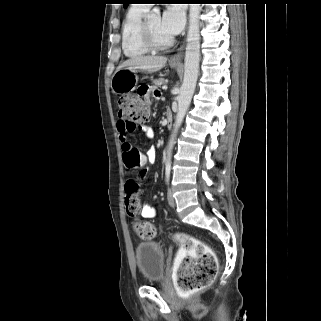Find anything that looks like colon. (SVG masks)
Here are the masks:
<instances>
[{
  "instance_id": "colon-1",
  "label": "colon",
  "mask_w": 321,
  "mask_h": 321,
  "mask_svg": "<svg viewBox=\"0 0 321 321\" xmlns=\"http://www.w3.org/2000/svg\"><path fill=\"white\" fill-rule=\"evenodd\" d=\"M119 120L129 130L137 129L147 121L148 106L137 95H128L119 99ZM146 164L138 151L131 153L125 165L128 169H139ZM141 190L137 182L129 180L125 185V207L127 214L134 216L140 209ZM135 233L142 239H152L156 229L150 222H140L134 226ZM181 246V252L174 267L175 284L179 292L189 295L213 282L218 273V261L212 249L196 237L186 233L175 234Z\"/></svg>"
}]
</instances>
